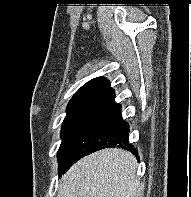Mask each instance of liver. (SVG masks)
Listing matches in <instances>:
<instances>
[{"label":"liver","mask_w":191,"mask_h":197,"mask_svg":"<svg viewBox=\"0 0 191 197\" xmlns=\"http://www.w3.org/2000/svg\"><path fill=\"white\" fill-rule=\"evenodd\" d=\"M130 152L103 149L76 162L62 177L58 197H141Z\"/></svg>","instance_id":"obj_1"}]
</instances>
